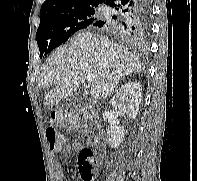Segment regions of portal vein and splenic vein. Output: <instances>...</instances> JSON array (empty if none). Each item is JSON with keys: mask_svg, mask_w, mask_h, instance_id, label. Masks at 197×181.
I'll use <instances>...</instances> for the list:
<instances>
[{"mask_svg": "<svg viewBox=\"0 0 197 181\" xmlns=\"http://www.w3.org/2000/svg\"><path fill=\"white\" fill-rule=\"evenodd\" d=\"M88 83H92L94 81V75L93 74H87L86 76Z\"/></svg>", "mask_w": 197, "mask_h": 181, "instance_id": "1", "label": "portal vein and splenic vein"}]
</instances>
